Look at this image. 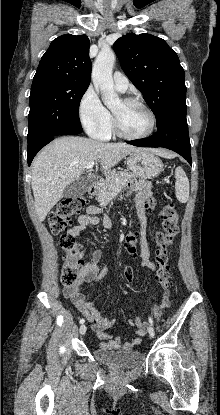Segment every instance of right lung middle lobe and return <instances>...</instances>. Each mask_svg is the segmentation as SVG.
<instances>
[{"instance_id": "obj_1", "label": "right lung middle lobe", "mask_w": 220, "mask_h": 415, "mask_svg": "<svg viewBox=\"0 0 220 415\" xmlns=\"http://www.w3.org/2000/svg\"><path fill=\"white\" fill-rule=\"evenodd\" d=\"M87 88L88 85L52 80L32 83L28 151L47 137L75 134L82 129L79 104Z\"/></svg>"}]
</instances>
